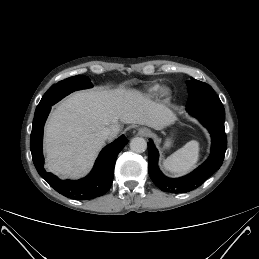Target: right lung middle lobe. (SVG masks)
Wrapping results in <instances>:
<instances>
[{"label": "right lung middle lobe", "instance_id": "right-lung-middle-lobe-1", "mask_svg": "<svg viewBox=\"0 0 259 259\" xmlns=\"http://www.w3.org/2000/svg\"><path fill=\"white\" fill-rule=\"evenodd\" d=\"M92 87L89 78L83 75H77L64 79L57 84L52 85L42 97L40 103L36 108V112L46 107L52 106L64 96L70 94L73 91L86 89Z\"/></svg>", "mask_w": 259, "mask_h": 259}]
</instances>
